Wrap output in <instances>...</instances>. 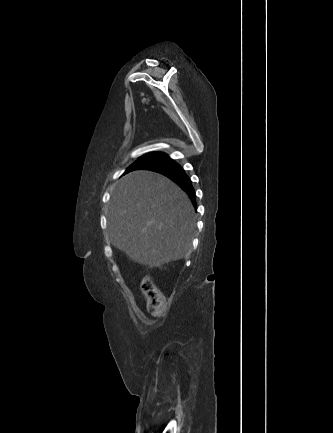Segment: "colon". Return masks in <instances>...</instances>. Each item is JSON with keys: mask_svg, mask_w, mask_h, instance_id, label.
<instances>
[{"mask_svg": "<svg viewBox=\"0 0 333 433\" xmlns=\"http://www.w3.org/2000/svg\"><path fill=\"white\" fill-rule=\"evenodd\" d=\"M140 287L142 293L147 298L149 312L155 317H160L165 308V298L162 292L148 277L142 279Z\"/></svg>", "mask_w": 333, "mask_h": 433, "instance_id": "colon-1", "label": "colon"}]
</instances>
